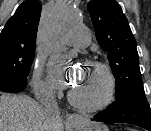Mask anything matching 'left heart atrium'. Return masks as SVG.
Returning <instances> with one entry per match:
<instances>
[{
  "label": "left heart atrium",
  "instance_id": "39dd6f15",
  "mask_svg": "<svg viewBox=\"0 0 151 131\" xmlns=\"http://www.w3.org/2000/svg\"><path fill=\"white\" fill-rule=\"evenodd\" d=\"M53 83L59 88L71 86L72 77L68 78L66 73L60 67H56L53 70Z\"/></svg>",
  "mask_w": 151,
  "mask_h": 131
}]
</instances>
